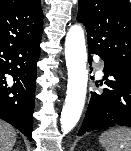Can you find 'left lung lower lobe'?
<instances>
[{"instance_id": "obj_1", "label": "left lung lower lobe", "mask_w": 131, "mask_h": 151, "mask_svg": "<svg viewBox=\"0 0 131 151\" xmlns=\"http://www.w3.org/2000/svg\"><path fill=\"white\" fill-rule=\"evenodd\" d=\"M103 60L104 78L100 86L104 85V89L101 93L91 92L78 136L110 127H131V71Z\"/></svg>"}]
</instances>
